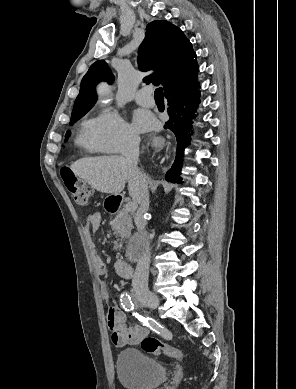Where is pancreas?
Segmentation results:
<instances>
[{
	"label": "pancreas",
	"instance_id": "pancreas-1",
	"mask_svg": "<svg viewBox=\"0 0 296 389\" xmlns=\"http://www.w3.org/2000/svg\"><path fill=\"white\" fill-rule=\"evenodd\" d=\"M112 230L116 235V247L119 248V243L123 239H128L132 230V217L129 211L125 208L121 209L115 218L110 222Z\"/></svg>",
	"mask_w": 296,
	"mask_h": 389
}]
</instances>
